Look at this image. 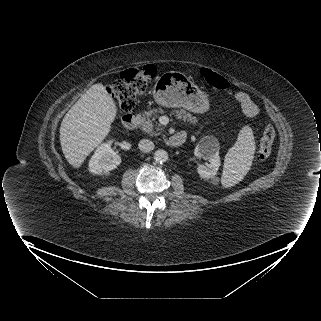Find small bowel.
I'll use <instances>...</instances> for the list:
<instances>
[{
  "instance_id": "obj_1",
  "label": "small bowel",
  "mask_w": 321,
  "mask_h": 321,
  "mask_svg": "<svg viewBox=\"0 0 321 321\" xmlns=\"http://www.w3.org/2000/svg\"><path fill=\"white\" fill-rule=\"evenodd\" d=\"M232 97L248 116L258 117L260 115V109L246 92L236 91L233 93Z\"/></svg>"
}]
</instances>
